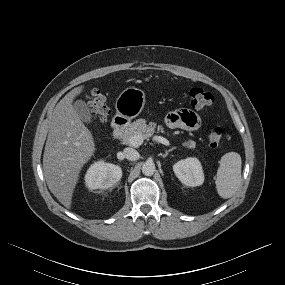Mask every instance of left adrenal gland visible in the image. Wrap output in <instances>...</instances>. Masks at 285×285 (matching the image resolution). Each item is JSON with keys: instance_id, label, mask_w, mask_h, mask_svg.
<instances>
[{"instance_id": "obj_1", "label": "left adrenal gland", "mask_w": 285, "mask_h": 285, "mask_svg": "<svg viewBox=\"0 0 285 285\" xmlns=\"http://www.w3.org/2000/svg\"><path fill=\"white\" fill-rule=\"evenodd\" d=\"M174 149L175 147H172L171 149L166 150L165 154H162L161 156L165 158L166 156H168L169 152L173 151Z\"/></svg>"}]
</instances>
